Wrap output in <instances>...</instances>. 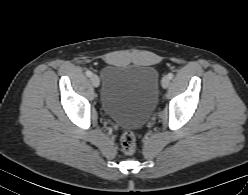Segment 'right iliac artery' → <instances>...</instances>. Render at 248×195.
Here are the masks:
<instances>
[{"label": "right iliac artery", "instance_id": "right-iliac-artery-1", "mask_svg": "<svg viewBox=\"0 0 248 195\" xmlns=\"http://www.w3.org/2000/svg\"><path fill=\"white\" fill-rule=\"evenodd\" d=\"M85 74H86V76H88V77H91V76H92V72H91V71H89V70H88V71H86V72H85Z\"/></svg>", "mask_w": 248, "mask_h": 195}]
</instances>
